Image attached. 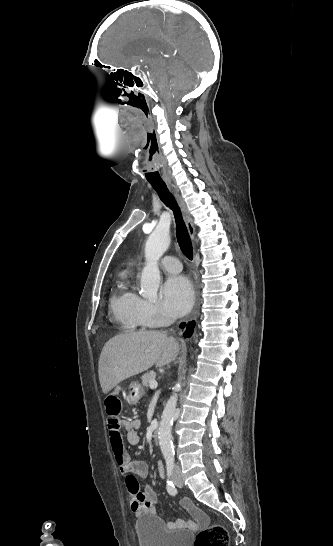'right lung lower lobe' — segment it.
I'll list each match as a JSON object with an SVG mask.
<instances>
[{
  "mask_svg": "<svg viewBox=\"0 0 333 546\" xmlns=\"http://www.w3.org/2000/svg\"><path fill=\"white\" fill-rule=\"evenodd\" d=\"M186 327V330L184 332V337H191L193 331H194V327H195V321H190L188 322V324L186 325V323H181L180 324V328L184 329Z\"/></svg>",
  "mask_w": 333,
  "mask_h": 546,
  "instance_id": "1",
  "label": "right lung lower lobe"
}]
</instances>
